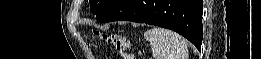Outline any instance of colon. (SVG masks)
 I'll list each match as a JSON object with an SVG mask.
<instances>
[{"mask_svg": "<svg viewBox=\"0 0 261 59\" xmlns=\"http://www.w3.org/2000/svg\"><path fill=\"white\" fill-rule=\"evenodd\" d=\"M103 38L108 44H112L116 48V50L120 53H122L127 48V41L122 36L106 34L103 36ZM123 58H129V57L123 55Z\"/></svg>", "mask_w": 261, "mask_h": 59, "instance_id": "colon-1", "label": "colon"}]
</instances>
